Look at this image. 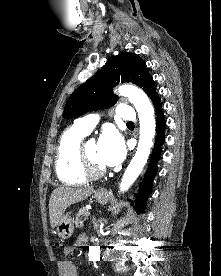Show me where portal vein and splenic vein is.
<instances>
[{"mask_svg": "<svg viewBox=\"0 0 221 276\" xmlns=\"http://www.w3.org/2000/svg\"><path fill=\"white\" fill-rule=\"evenodd\" d=\"M86 216H87V217L90 216V212H89V211L86 213Z\"/></svg>", "mask_w": 221, "mask_h": 276, "instance_id": "1", "label": "portal vein and splenic vein"}]
</instances>
